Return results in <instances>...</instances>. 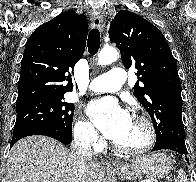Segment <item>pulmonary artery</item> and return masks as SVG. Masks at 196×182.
I'll list each match as a JSON object with an SVG mask.
<instances>
[{
    "instance_id": "obj_1",
    "label": "pulmonary artery",
    "mask_w": 196,
    "mask_h": 182,
    "mask_svg": "<svg viewBox=\"0 0 196 182\" xmlns=\"http://www.w3.org/2000/svg\"><path fill=\"white\" fill-rule=\"evenodd\" d=\"M125 80V72L119 67H113L106 74L92 80L89 89L99 93L116 92L123 87Z\"/></svg>"
}]
</instances>
